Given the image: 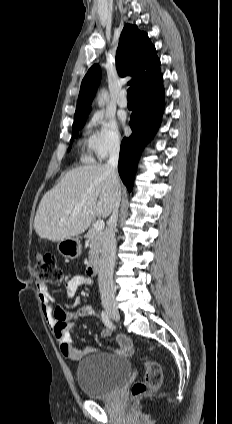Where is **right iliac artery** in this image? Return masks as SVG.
Segmentation results:
<instances>
[{
    "label": "right iliac artery",
    "instance_id": "82829eb1",
    "mask_svg": "<svg viewBox=\"0 0 232 424\" xmlns=\"http://www.w3.org/2000/svg\"><path fill=\"white\" fill-rule=\"evenodd\" d=\"M101 318H102V321L105 324V326H107L109 329H112V330L115 329V326L113 325L110 317L108 316V314L106 312L102 311Z\"/></svg>",
    "mask_w": 232,
    "mask_h": 424
}]
</instances>
